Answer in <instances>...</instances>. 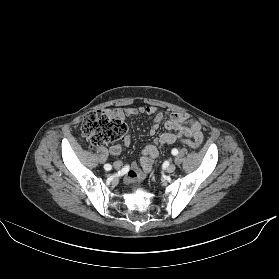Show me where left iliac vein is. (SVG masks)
<instances>
[{"instance_id":"left-iliac-vein-1","label":"left iliac vein","mask_w":279,"mask_h":279,"mask_svg":"<svg viewBox=\"0 0 279 279\" xmlns=\"http://www.w3.org/2000/svg\"><path fill=\"white\" fill-rule=\"evenodd\" d=\"M175 169H176V165L173 164V163H171V164H169V165L167 166L166 172H167V173H173V172L175 171Z\"/></svg>"}]
</instances>
